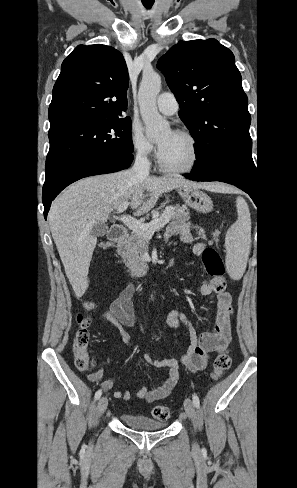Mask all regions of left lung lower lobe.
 Wrapping results in <instances>:
<instances>
[{
  "mask_svg": "<svg viewBox=\"0 0 297 488\" xmlns=\"http://www.w3.org/2000/svg\"><path fill=\"white\" fill-rule=\"evenodd\" d=\"M193 181H221L235 185L249 194L253 201L257 202L258 185L254 174L235 165H216L207 169L184 174Z\"/></svg>",
  "mask_w": 297,
  "mask_h": 488,
  "instance_id": "left-lung-lower-lobe-1",
  "label": "left lung lower lobe"
}]
</instances>
